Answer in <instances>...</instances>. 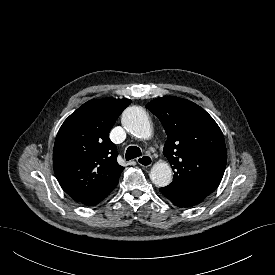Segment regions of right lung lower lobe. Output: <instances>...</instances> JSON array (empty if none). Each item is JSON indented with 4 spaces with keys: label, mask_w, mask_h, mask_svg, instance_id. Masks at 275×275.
Listing matches in <instances>:
<instances>
[{
    "label": "right lung lower lobe",
    "mask_w": 275,
    "mask_h": 275,
    "mask_svg": "<svg viewBox=\"0 0 275 275\" xmlns=\"http://www.w3.org/2000/svg\"><path fill=\"white\" fill-rule=\"evenodd\" d=\"M107 196H108V194L104 195L102 197L93 198V199L83 201L82 203L85 204V205H88V206H94V205L98 204L99 202H101Z\"/></svg>",
    "instance_id": "right-lung-lower-lobe-1"
}]
</instances>
